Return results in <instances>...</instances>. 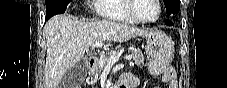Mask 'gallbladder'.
I'll use <instances>...</instances> for the list:
<instances>
[{"mask_svg":"<svg viewBox=\"0 0 227 88\" xmlns=\"http://www.w3.org/2000/svg\"><path fill=\"white\" fill-rule=\"evenodd\" d=\"M86 76V60L82 59L70 68L62 78L60 88H76Z\"/></svg>","mask_w":227,"mask_h":88,"instance_id":"1","label":"gallbladder"}]
</instances>
